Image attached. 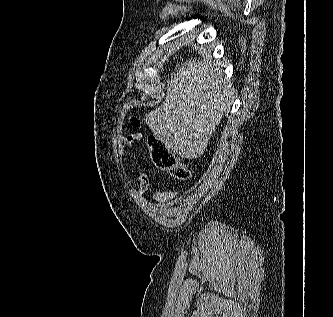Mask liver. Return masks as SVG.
Returning <instances> with one entry per match:
<instances>
[{
    "instance_id": "1",
    "label": "liver",
    "mask_w": 333,
    "mask_h": 317,
    "mask_svg": "<svg viewBox=\"0 0 333 317\" xmlns=\"http://www.w3.org/2000/svg\"><path fill=\"white\" fill-rule=\"evenodd\" d=\"M163 104L145 122L165 147L186 159L203 155L233 100L218 61L209 54L186 61L172 75Z\"/></svg>"
}]
</instances>
